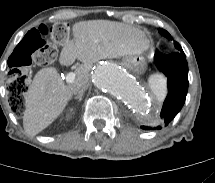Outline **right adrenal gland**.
Segmentation results:
<instances>
[{
	"label": "right adrenal gland",
	"mask_w": 215,
	"mask_h": 183,
	"mask_svg": "<svg viewBox=\"0 0 215 183\" xmlns=\"http://www.w3.org/2000/svg\"><path fill=\"white\" fill-rule=\"evenodd\" d=\"M83 94H84V93L82 92V93H80V94L74 96V99H78L79 101H81V100H82V97H83Z\"/></svg>",
	"instance_id": "right-adrenal-gland-1"
}]
</instances>
